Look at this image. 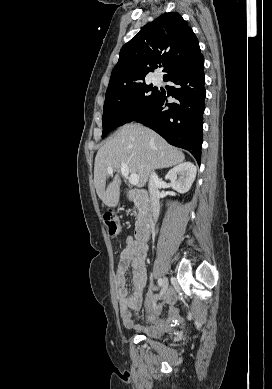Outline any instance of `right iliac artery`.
<instances>
[{"instance_id": "right-iliac-artery-1", "label": "right iliac artery", "mask_w": 272, "mask_h": 389, "mask_svg": "<svg viewBox=\"0 0 272 389\" xmlns=\"http://www.w3.org/2000/svg\"><path fill=\"white\" fill-rule=\"evenodd\" d=\"M162 284H163V279H162V278H159V279H158V285H159V286H162Z\"/></svg>"}]
</instances>
